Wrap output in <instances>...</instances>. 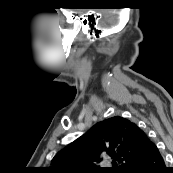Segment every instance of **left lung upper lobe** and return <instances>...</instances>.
<instances>
[{
  "label": "left lung upper lobe",
  "instance_id": "5c2ea615",
  "mask_svg": "<svg viewBox=\"0 0 173 173\" xmlns=\"http://www.w3.org/2000/svg\"><path fill=\"white\" fill-rule=\"evenodd\" d=\"M146 146V134L134 122L115 116L95 124L83 136L61 150L53 162L57 173H126ZM104 155L112 167H98ZM122 163V167L116 165Z\"/></svg>",
  "mask_w": 173,
  "mask_h": 173
}]
</instances>
